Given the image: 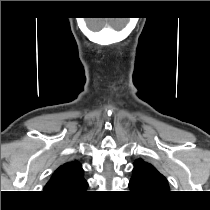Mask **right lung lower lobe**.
Segmentation results:
<instances>
[{
  "label": "right lung lower lobe",
  "instance_id": "98d812e1",
  "mask_svg": "<svg viewBox=\"0 0 210 210\" xmlns=\"http://www.w3.org/2000/svg\"><path fill=\"white\" fill-rule=\"evenodd\" d=\"M78 196H75V197H63V198H60V199H63V200H73V199L78 198Z\"/></svg>",
  "mask_w": 210,
  "mask_h": 210
}]
</instances>
